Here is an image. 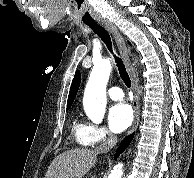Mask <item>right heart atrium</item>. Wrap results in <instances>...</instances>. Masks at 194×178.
<instances>
[{"mask_svg":"<svg viewBox=\"0 0 194 178\" xmlns=\"http://www.w3.org/2000/svg\"><path fill=\"white\" fill-rule=\"evenodd\" d=\"M114 136L105 127L93 123L86 125L84 142L87 146H96L101 143L113 141Z\"/></svg>","mask_w":194,"mask_h":178,"instance_id":"d8ad5b80","label":"right heart atrium"}]
</instances>
